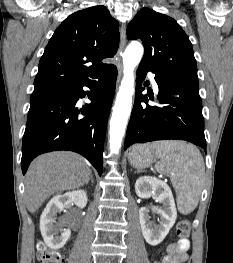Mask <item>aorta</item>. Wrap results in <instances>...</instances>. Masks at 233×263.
Listing matches in <instances>:
<instances>
[{
  "label": "aorta",
  "mask_w": 233,
  "mask_h": 263,
  "mask_svg": "<svg viewBox=\"0 0 233 263\" xmlns=\"http://www.w3.org/2000/svg\"><path fill=\"white\" fill-rule=\"evenodd\" d=\"M143 56V47L137 41H132L123 54V79L116 97L110 120V151L117 154L121 148L127 121L132 107L134 93V69Z\"/></svg>",
  "instance_id": "762f6f07"
}]
</instances>
